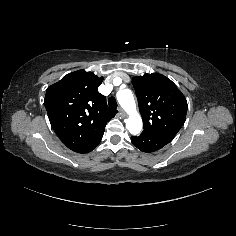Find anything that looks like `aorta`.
Here are the masks:
<instances>
[{
  "mask_svg": "<svg viewBox=\"0 0 236 236\" xmlns=\"http://www.w3.org/2000/svg\"><path fill=\"white\" fill-rule=\"evenodd\" d=\"M117 100L121 107L128 113L126 128L132 135H137L142 130V119L136 111V104L133 93L130 89L119 90Z\"/></svg>",
  "mask_w": 236,
  "mask_h": 236,
  "instance_id": "1",
  "label": "aorta"
}]
</instances>
